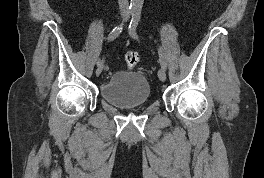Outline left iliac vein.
<instances>
[{"instance_id": "obj_1", "label": "left iliac vein", "mask_w": 264, "mask_h": 178, "mask_svg": "<svg viewBox=\"0 0 264 178\" xmlns=\"http://www.w3.org/2000/svg\"><path fill=\"white\" fill-rule=\"evenodd\" d=\"M158 77L159 79L164 82L166 80V71L165 69L161 68L158 70Z\"/></svg>"}]
</instances>
